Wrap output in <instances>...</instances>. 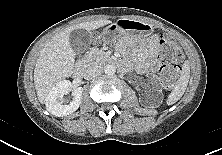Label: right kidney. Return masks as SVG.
I'll return each mask as SVG.
<instances>
[{
  "mask_svg": "<svg viewBox=\"0 0 222 155\" xmlns=\"http://www.w3.org/2000/svg\"><path fill=\"white\" fill-rule=\"evenodd\" d=\"M71 86L69 80H63L50 90L45 105L52 115L57 117L67 116L79 108L83 92L82 87L73 89L72 101L69 104H64L63 96L71 90Z\"/></svg>",
  "mask_w": 222,
  "mask_h": 155,
  "instance_id": "1",
  "label": "right kidney"
}]
</instances>
